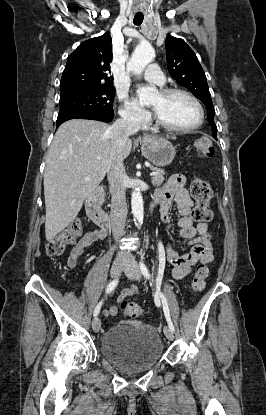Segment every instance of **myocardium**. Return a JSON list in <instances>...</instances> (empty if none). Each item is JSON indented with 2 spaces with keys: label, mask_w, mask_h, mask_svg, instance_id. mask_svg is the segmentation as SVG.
I'll return each instance as SVG.
<instances>
[{
  "label": "myocardium",
  "mask_w": 266,
  "mask_h": 415,
  "mask_svg": "<svg viewBox=\"0 0 266 415\" xmlns=\"http://www.w3.org/2000/svg\"><path fill=\"white\" fill-rule=\"evenodd\" d=\"M159 93L164 97H170V96L177 95V94L186 96L197 107L198 112H199V119H198L197 123L192 125V126H189V127H176V126H172V125L166 123L154 111V120H155V124H156L157 127L161 128L165 131H168V132L187 133V132H191L193 130H196L199 127L202 126V124L204 123V120H205V112H204V109L202 107V104L200 103V101L197 99V97L195 95H193L191 92H189L185 89H181V88H164V89H161Z\"/></svg>",
  "instance_id": "myocardium-1"
}]
</instances>
